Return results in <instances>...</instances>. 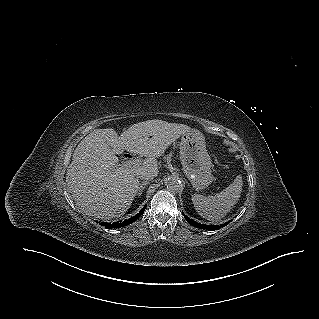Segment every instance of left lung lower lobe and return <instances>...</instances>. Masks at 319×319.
Returning a JSON list of instances; mask_svg holds the SVG:
<instances>
[{"mask_svg":"<svg viewBox=\"0 0 319 319\" xmlns=\"http://www.w3.org/2000/svg\"><path fill=\"white\" fill-rule=\"evenodd\" d=\"M183 215H184V218L186 219V221L189 224H191L192 226H194L196 228H199V229H206V230H210V231L217 230V229H219L221 227L226 226L228 223H230V221H228V222H226L224 224H220V225H205V224H200V223L195 222L194 220H192L189 217L185 216V214H183Z\"/></svg>","mask_w":319,"mask_h":319,"instance_id":"obj_1","label":"left lung lower lobe"}]
</instances>
